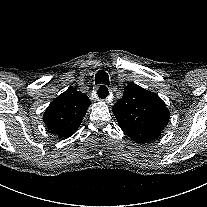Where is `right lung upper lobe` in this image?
<instances>
[{"instance_id": "cb5924a9", "label": "right lung upper lobe", "mask_w": 207, "mask_h": 207, "mask_svg": "<svg viewBox=\"0 0 207 207\" xmlns=\"http://www.w3.org/2000/svg\"><path fill=\"white\" fill-rule=\"evenodd\" d=\"M90 104L86 94L69 88L50 103L43 121L55 135L68 138L80 126Z\"/></svg>"}]
</instances>
